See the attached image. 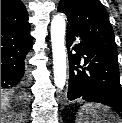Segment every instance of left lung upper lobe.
I'll return each mask as SVG.
<instances>
[{
    "label": "left lung upper lobe",
    "mask_w": 122,
    "mask_h": 123,
    "mask_svg": "<svg viewBox=\"0 0 122 123\" xmlns=\"http://www.w3.org/2000/svg\"><path fill=\"white\" fill-rule=\"evenodd\" d=\"M58 11L66 14L68 30L85 41L117 54L109 15L99 0H61Z\"/></svg>",
    "instance_id": "left-lung-upper-lobe-1"
}]
</instances>
